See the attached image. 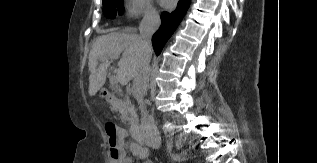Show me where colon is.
<instances>
[{
	"instance_id": "obj_1",
	"label": "colon",
	"mask_w": 317,
	"mask_h": 163,
	"mask_svg": "<svg viewBox=\"0 0 317 163\" xmlns=\"http://www.w3.org/2000/svg\"><path fill=\"white\" fill-rule=\"evenodd\" d=\"M106 133L109 138L110 154L114 160H118L122 156V152L118 149L120 137L118 129L113 124L106 125Z\"/></svg>"
}]
</instances>
